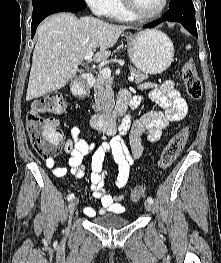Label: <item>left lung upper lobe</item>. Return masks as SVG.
Returning <instances> with one entry per match:
<instances>
[{
  "label": "left lung upper lobe",
  "mask_w": 221,
  "mask_h": 263,
  "mask_svg": "<svg viewBox=\"0 0 221 263\" xmlns=\"http://www.w3.org/2000/svg\"><path fill=\"white\" fill-rule=\"evenodd\" d=\"M184 1H186V0H170V5L181 3V2H184Z\"/></svg>",
  "instance_id": "5c2ea615"
}]
</instances>
